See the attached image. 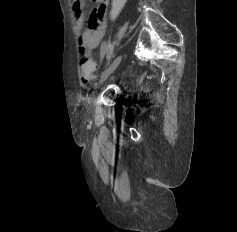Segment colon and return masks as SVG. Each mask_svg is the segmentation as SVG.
<instances>
[{"mask_svg":"<svg viewBox=\"0 0 237 232\" xmlns=\"http://www.w3.org/2000/svg\"><path fill=\"white\" fill-rule=\"evenodd\" d=\"M127 0H112V6L109 13L110 20H115L123 7L125 6ZM81 65V82L82 84H87L90 80L94 78L95 63L91 58H84L80 62Z\"/></svg>","mask_w":237,"mask_h":232,"instance_id":"5ec220e1","label":"colon"}]
</instances>
